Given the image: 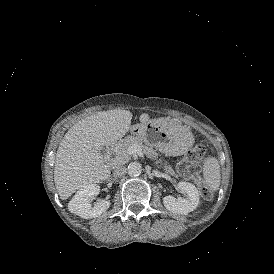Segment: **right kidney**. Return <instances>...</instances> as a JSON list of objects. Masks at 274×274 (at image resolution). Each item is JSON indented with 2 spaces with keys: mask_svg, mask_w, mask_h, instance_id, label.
I'll use <instances>...</instances> for the list:
<instances>
[{
  "mask_svg": "<svg viewBox=\"0 0 274 274\" xmlns=\"http://www.w3.org/2000/svg\"><path fill=\"white\" fill-rule=\"evenodd\" d=\"M99 192L100 186L95 183H88L81 187L68 204L70 212L84 219L100 216L106 211L108 204L105 202L90 204L89 201L90 197L97 196Z\"/></svg>",
  "mask_w": 274,
  "mask_h": 274,
  "instance_id": "ca27d5eb",
  "label": "right kidney"
}]
</instances>
